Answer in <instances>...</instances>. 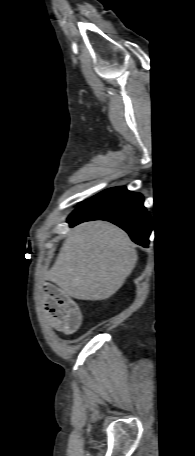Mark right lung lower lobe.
<instances>
[{"label":"right lung lower lobe","instance_id":"98d812e1","mask_svg":"<svg viewBox=\"0 0 195 456\" xmlns=\"http://www.w3.org/2000/svg\"><path fill=\"white\" fill-rule=\"evenodd\" d=\"M143 202L141 194L125 187L109 188L77 207L67 222L75 226L84 221H110L124 229L135 243L148 247L151 219Z\"/></svg>","mask_w":195,"mask_h":456}]
</instances>
